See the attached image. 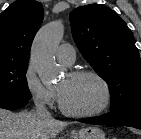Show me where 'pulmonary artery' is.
I'll use <instances>...</instances> for the list:
<instances>
[{"label":"pulmonary artery","mask_w":141,"mask_h":139,"mask_svg":"<svg viewBox=\"0 0 141 139\" xmlns=\"http://www.w3.org/2000/svg\"><path fill=\"white\" fill-rule=\"evenodd\" d=\"M56 57L59 62L70 66L75 61V50L70 44H61L56 51Z\"/></svg>","instance_id":"e3ab8cb5"}]
</instances>
